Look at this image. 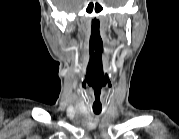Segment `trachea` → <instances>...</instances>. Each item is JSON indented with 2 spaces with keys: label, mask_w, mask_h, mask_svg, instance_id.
I'll use <instances>...</instances> for the list:
<instances>
[{
  "label": "trachea",
  "mask_w": 179,
  "mask_h": 139,
  "mask_svg": "<svg viewBox=\"0 0 179 139\" xmlns=\"http://www.w3.org/2000/svg\"><path fill=\"white\" fill-rule=\"evenodd\" d=\"M95 114H100V112H98V111H95Z\"/></svg>",
  "instance_id": "trachea-1"
}]
</instances>
